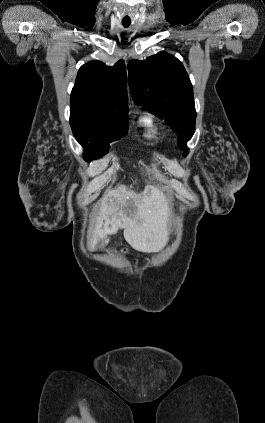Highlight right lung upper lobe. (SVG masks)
Masks as SVG:
<instances>
[{
    "label": "right lung upper lobe",
    "mask_w": 265,
    "mask_h": 423,
    "mask_svg": "<svg viewBox=\"0 0 265 423\" xmlns=\"http://www.w3.org/2000/svg\"><path fill=\"white\" fill-rule=\"evenodd\" d=\"M71 110H81L109 119L127 116L126 66L119 60L109 67L91 61L79 69L71 92Z\"/></svg>",
    "instance_id": "obj_1"
}]
</instances>
